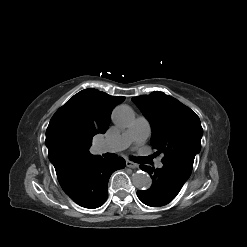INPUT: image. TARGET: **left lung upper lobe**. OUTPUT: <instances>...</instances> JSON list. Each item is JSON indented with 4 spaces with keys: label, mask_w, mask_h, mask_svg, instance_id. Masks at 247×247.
<instances>
[{
    "label": "left lung upper lobe",
    "mask_w": 247,
    "mask_h": 247,
    "mask_svg": "<svg viewBox=\"0 0 247 247\" xmlns=\"http://www.w3.org/2000/svg\"><path fill=\"white\" fill-rule=\"evenodd\" d=\"M132 100L150 121L155 155L163 153V165L189 178L195 155L201 148L203 129L199 117L163 92H152Z\"/></svg>",
    "instance_id": "5c2ea615"
}]
</instances>
